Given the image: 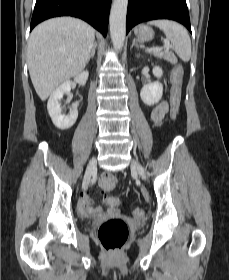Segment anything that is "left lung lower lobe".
<instances>
[{
	"instance_id": "1",
	"label": "left lung lower lobe",
	"mask_w": 229,
	"mask_h": 280,
	"mask_svg": "<svg viewBox=\"0 0 229 280\" xmlns=\"http://www.w3.org/2000/svg\"><path fill=\"white\" fill-rule=\"evenodd\" d=\"M156 19L175 20L182 23L191 32L185 0H129L126 34L138 23Z\"/></svg>"
}]
</instances>
